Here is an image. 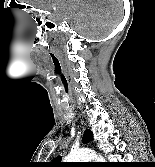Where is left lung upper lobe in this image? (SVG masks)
<instances>
[{
  "mask_svg": "<svg viewBox=\"0 0 155 167\" xmlns=\"http://www.w3.org/2000/svg\"><path fill=\"white\" fill-rule=\"evenodd\" d=\"M93 139L92 132L90 130H86L83 135V142H89ZM61 158L57 157L52 162L48 164L49 167H67V163L60 162Z\"/></svg>",
  "mask_w": 155,
  "mask_h": 167,
  "instance_id": "5c2ea615",
  "label": "left lung upper lobe"
}]
</instances>
